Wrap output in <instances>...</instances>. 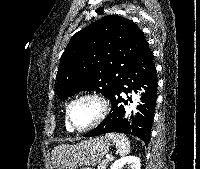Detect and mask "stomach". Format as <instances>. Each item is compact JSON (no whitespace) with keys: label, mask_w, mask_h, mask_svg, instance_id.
Here are the masks:
<instances>
[{"label":"stomach","mask_w":200,"mask_h":169,"mask_svg":"<svg viewBox=\"0 0 200 169\" xmlns=\"http://www.w3.org/2000/svg\"><path fill=\"white\" fill-rule=\"evenodd\" d=\"M110 146L106 137L90 138L75 145H61L51 153L55 169H76L78 166L98 164Z\"/></svg>","instance_id":"1"}]
</instances>
